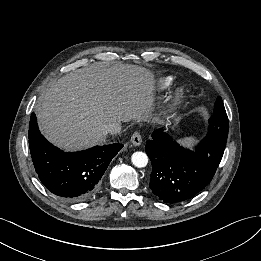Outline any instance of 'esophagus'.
<instances>
[{
  "instance_id": "34e87169",
  "label": "esophagus",
  "mask_w": 261,
  "mask_h": 261,
  "mask_svg": "<svg viewBox=\"0 0 261 261\" xmlns=\"http://www.w3.org/2000/svg\"><path fill=\"white\" fill-rule=\"evenodd\" d=\"M142 142V137L139 132H134L131 136V143L134 146H139Z\"/></svg>"
}]
</instances>
